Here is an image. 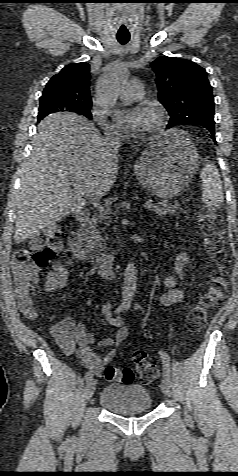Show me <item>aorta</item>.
Segmentation results:
<instances>
[{"label": "aorta", "instance_id": "762f6f07", "mask_svg": "<svg viewBox=\"0 0 238 476\" xmlns=\"http://www.w3.org/2000/svg\"><path fill=\"white\" fill-rule=\"evenodd\" d=\"M127 78V70L122 66L111 68L104 76L98 90V102L107 112L115 111V102L120 87ZM137 269L134 262H129L124 273L122 305L129 307L136 291Z\"/></svg>", "mask_w": 238, "mask_h": 476}]
</instances>
